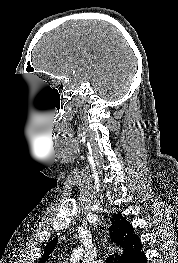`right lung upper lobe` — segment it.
<instances>
[{
    "mask_svg": "<svg viewBox=\"0 0 178 263\" xmlns=\"http://www.w3.org/2000/svg\"><path fill=\"white\" fill-rule=\"evenodd\" d=\"M111 221L110 238L121 249V252L114 256V263H128L142 250L140 239L132 225L122 215L114 214ZM57 243V238H54L46 245L40 263H45L49 259Z\"/></svg>",
    "mask_w": 178,
    "mask_h": 263,
    "instance_id": "1",
    "label": "right lung upper lobe"
}]
</instances>
